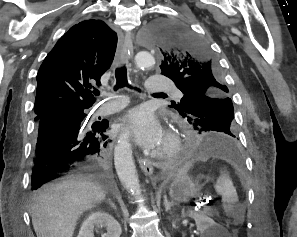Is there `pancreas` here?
I'll return each instance as SVG.
<instances>
[{"label": "pancreas", "instance_id": "obj_1", "mask_svg": "<svg viewBox=\"0 0 297 237\" xmlns=\"http://www.w3.org/2000/svg\"><path fill=\"white\" fill-rule=\"evenodd\" d=\"M203 213H204V214H207V215H209V216H213V215H218V214H219L218 211L213 210L212 208H205V209L203 210Z\"/></svg>", "mask_w": 297, "mask_h": 237}]
</instances>
